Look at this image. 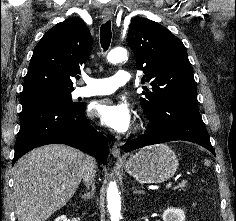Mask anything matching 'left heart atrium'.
<instances>
[{"label":"left heart atrium","instance_id":"1","mask_svg":"<svg viewBox=\"0 0 236 221\" xmlns=\"http://www.w3.org/2000/svg\"><path fill=\"white\" fill-rule=\"evenodd\" d=\"M92 114L111 130L118 133L127 132L132 126V115L128 105L111 98L96 101Z\"/></svg>","mask_w":236,"mask_h":221}]
</instances>
